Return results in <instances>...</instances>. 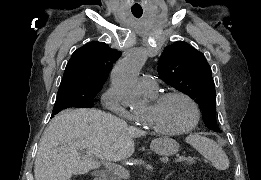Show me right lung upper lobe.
<instances>
[{"instance_id":"obj_1","label":"right lung upper lobe","mask_w":261,"mask_h":180,"mask_svg":"<svg viewBox=\"0 0 261 180\" xmlns=\"http://www.w3.org/2000/svg\"><path fill=\"white\" fill-rule=\"evenodd\" d=\"M121 52L104 42H90L77 49L66 65L60 87L86 86L102 88L112 64Z\"/></svg>"}]
</instances>
